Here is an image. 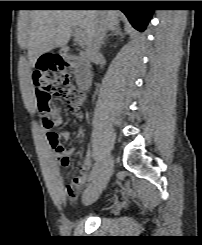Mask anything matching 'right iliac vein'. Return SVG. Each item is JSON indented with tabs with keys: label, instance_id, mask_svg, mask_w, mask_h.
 <instances>
[{
	"label": "right iliac vein",
	"instance_id": "obj_1",
	"mask_svg": "<svg viewBox=\"0 0 202 245\" xmlns=\"http://www.w3.org/2000/svg\"><path fill=\"white\" fill-rule=\"evenodd\" d=\"M114 166V157L110 156L103 165L100 173L95 180L86 188L83 193V201L85 204H91L94 202L106 187Z\"/></svg>",
	"mask_w": 202,
	"mask_h": 245
}]
</instances>
